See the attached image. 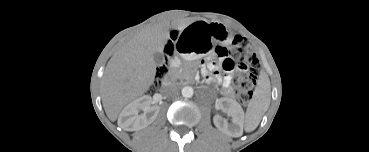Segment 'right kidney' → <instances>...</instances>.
<instances>
[{
    "label": "right kidney",
    "instance_id": "1",
    "mask_svg": "<svg viewBox=\"0 0 369 152\" xmlns=\"http://www.w3.org/2000/svg\"><path fill=\"white\" fill-rule=\"evenodd\" d=\"M144 113L138 115L139 111ZM157 106L151 104V97L143 96L138 100L130 103L121 113L120 117L128 126H132L135 130L142 129L151 124L157 115Z\"/></svg>",
    "mask_w": 369,
    "mask_h": 152
}]
</instances>
